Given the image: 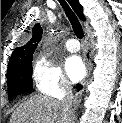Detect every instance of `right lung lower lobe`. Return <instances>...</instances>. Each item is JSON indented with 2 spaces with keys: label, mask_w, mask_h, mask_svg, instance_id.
<instances>
[{
  "label": "right lung lower lobe",
  "mask_w": 122,
  "mask_h": 123,
  "mask_svg": "<svg viewBox=\"0 0 122 123\" xmlns=\"http://www.w3.org/2000/svg\"><path fill=\"white\" fill-rule=\"evenodd\" d=\"M81 88H82V87H81V86H79L77 90L79 91V90H81Z\"/></svg>",
  "instance_id": "right-lung-lower-lobe-1"
}]
</instances>
